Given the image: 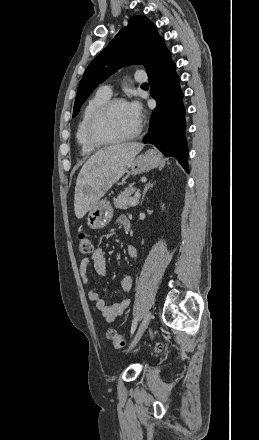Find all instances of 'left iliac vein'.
I'll use <instances>...</instances> for the list:
<instances>
[{
  "label": "left iliac vein",
  "instance_id": "left-iliac-vein-1",
  "mask_svg": "<svg viewBox=\"0 0 259 440\" xmlns=\"http://www.w3.org/2000/svg\"><path fill=\"white\" fill-rule=\"evenodd\" d=\"M151 317H152V313L151 312L146 313V315L144 316V319L142 320V322H141V324L139 326V329H138V331H137V333H136V335H135V337H134V339H133V341H132L128 351H130L131 349H133L136 346V344L138 343V341L142 337L144 331L146 330L147 326L149 325Z\"/></svg>",
  "mask_w": 259,
  "mask_h": 440
}]
</instances>
